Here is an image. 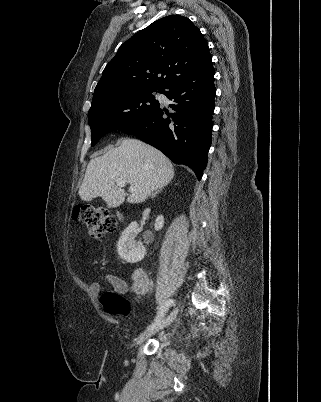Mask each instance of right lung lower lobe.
I'll return each instance as SVG.
<instances>
[{
    "label": "right lung lower lobe",
    "instance_id": "right-lung-lower-lobe-1",
    "mask_svg": "<svg viewBox=\"0 0 321 402\" xmlns=\"http://www.w3.org/2000/svg\"><path fill=\"white\" fill-rule=\"evenodd\" d=\"M214 74L210 64L174 80L162 92L173 100L170 107L174 113L166 118L167 112L159 106L146 117L118 130L137 136L175 163L189 166L200 180L211 146Z\"/></svg>",
    "mask_w": 321,
    "mask_h": 402
}]
</instances>
